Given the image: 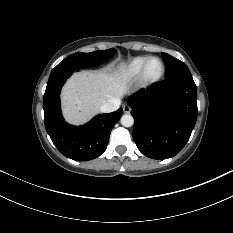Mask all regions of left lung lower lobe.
I'll return each mask as SVG.
<instances>
[{
    "label": "left lung lower lobe",
    "mask_w": 233,
    "mask_h": 233,
    "mask_svg": "<svg viewBox=\"0 0 233 233\" xmlns=\"http://www.w3.org/2000/svg\"><path fill=\"white\" fill-rule=\"evenodd\" d=\"M134 117L133 139L153 159H167L186 145L197 119V87L192 77L174 78L128 99Z\"/></svg>",
    "instance_id": "1"
}]
</instances>
